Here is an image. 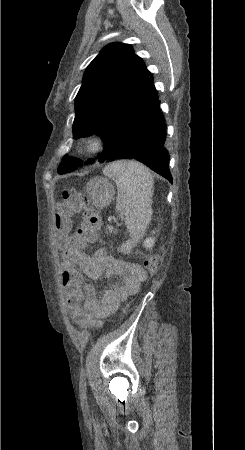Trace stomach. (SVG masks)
Listing matches in <instances>:
<instances>
[{"label": "stomach", "mask_w": 245, "mask_h": 450, "mask_svg": "<svg viewBox=\"0 0 245 450\" xmlns=\"http://www.w3.org/2000/svg\"><path fill=\"white\" fill-rule=\"evenodd\" d=\"M86 191L92 202L100 208L108 206L115 195L114 185L107 178L103 177L91 179L86 185Z\"/></svg>", "instance_id": "obj_1"}]
</instances>
